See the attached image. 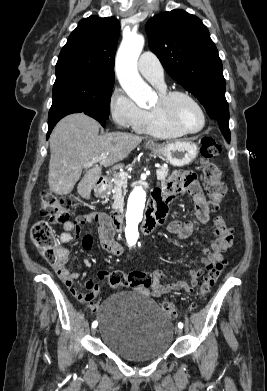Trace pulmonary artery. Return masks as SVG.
<instances>
[{
	"instance_id": "e3ab8cb5",
	"label": "pulmonary artery",
	"mask_w": 267,
	"mask_h": 391,
	"mask_svg": "<svg viewBox=\"0 0 267 391\" xmlns=\"http://www.w3.org/2000/svg\"><path fill=\"white\" fill-rule=\"evenodd\" d=\"M140 73L153 85L162 89L165 87L164 70L157 56L149 51L141 54L138 60Z\"/></svg>"
}]
</instances>
